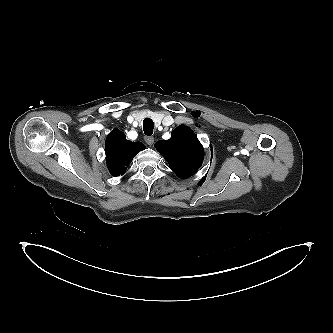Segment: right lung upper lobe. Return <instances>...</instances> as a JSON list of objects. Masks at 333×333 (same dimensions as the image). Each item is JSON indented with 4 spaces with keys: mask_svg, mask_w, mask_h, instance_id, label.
I'll return each instance as SVG.
<instances>
[{
    "mask_svg": "<svg viewBox=\"0 0 333 333\" xmlns=\"http://www.w3.org/2000/svg\"><path fill=\"white\" fill-rule=\"evenodd\" d=\"M144 149L145 146L141 142L126 140L122 131L112 130L105 142L106 161L110 173L113 176L123 175L133 157Z\"/></svg>",
    "mask_w": 333,
    "mask_h": 333,
    "instance_id": "obj_1",
    "label": "right lung upper lobe"
}]
</instances>
